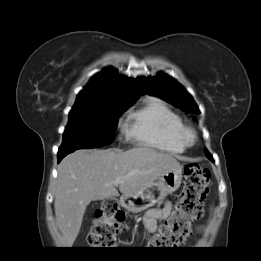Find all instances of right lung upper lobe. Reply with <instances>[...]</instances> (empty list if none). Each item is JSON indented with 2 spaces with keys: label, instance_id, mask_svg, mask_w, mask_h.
<instances>
[{
  "label": "right lung upper lobe",
  "instance_id": "cb5924a9",
  "mask_svg": "<svg viewBox=\"0 0 261 261\" xmlns=\"http://www.w3.org/2000/svg\"><path fill=\"white\" fill-rule=\"evenodd\" d=\"M145 94L138 80L119 76L114 69L94 75L89 84L78 94L77 100L85 98L115 97L136 100Z\"/></svg>",
  "mask_w": 261,
  "mask_h": 261
}]
</instances>
